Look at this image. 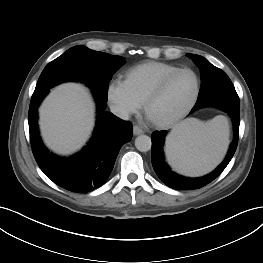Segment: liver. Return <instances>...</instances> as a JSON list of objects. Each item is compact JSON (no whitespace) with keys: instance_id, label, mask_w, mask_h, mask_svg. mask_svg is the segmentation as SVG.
<instances>
[{"instance_id":"liver-1","label":"liver","mask_w":263,"mask_h":263,"mask_svg":"<svg viewBox=\"0 0 263 263\" xmlns=\"http://www.w3.org/2000/svg\"><path fill=\"white\" fill-rule=\"evenodd\" d=\"M39 112L43 139L58 154L78 150L93 129L94 103L81 84L58 86L44 100Z\"/></svg>"}]
</instances>
